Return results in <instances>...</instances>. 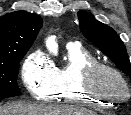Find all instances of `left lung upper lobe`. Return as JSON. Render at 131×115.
<instances>
[{"mask_svg":"<svg viewBox=\"0 0 131 115\" xmlns=\"http://www.w3.org/2000/svg\"><path fill=\"white\" fill-rule=\"evenodd\" d=\"M80 29L86 39L93 42L105 55L131 78L129 57L120 37L109 26L97 21L85 11L77 13Z\"/></svg>","mask_w":131,"mask_h":115,"instance_id":"1","label":"left lung upper lobe"}]
</instances>
